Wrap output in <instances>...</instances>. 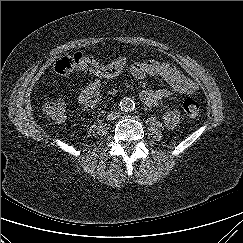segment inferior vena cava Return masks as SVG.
I'll return each mask as SVG.
<instances>
[{
	"label": "inferior vena cava",
	"mask_w": 243,
	"mask_h": 243,
	"mask_svg": "<svg viewBox=\"0 0 243 243\" xmlns=\"http://www.w3.org/2000/svg\"><path fill=\"white\" fill-rule=\"evenodd\" d=\"M119 116H120V113L119 112L112 111V112L109 113V115L107 116V118L109 120H115V119L119 118Z\"/></svg>",
	"instance_id": "obj_1"
}]
</instances>
